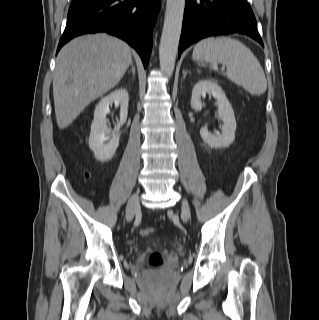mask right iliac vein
Instances as JSON below:
<instances>
[{"instance_id":"obj_1","label":"right iliac vein","mask_w":319,"mask_h":320,"mask_svg":"<svg viewBox=\"0 0 319 320\" xmlns=\"http://www.w3.org/2000/svg\"><path fill=\"white\" fill-rule=\"evenodd\" d=\"M139 208V195L136 193L131 196L127 203L126 217L128 221H131L133 219L134 215L138 212Z\"/></svg>"}]
</instances>
